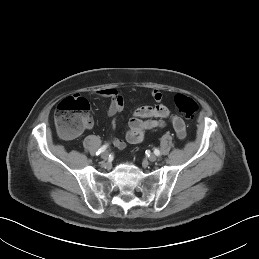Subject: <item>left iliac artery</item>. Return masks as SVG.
Masks as SVG:
<instances>
[{
  "instance_id": "1",
  "label": "left iliac artery",
  "mask_w": 259,
  "mask_h": 259,
  "mask_svg": "<svg viewBox=\"0 0 259 259\" xmlns=\"http://www.w3.org/2000/svg\"><path fill=\"white\" fill-rule=\"evenodd\" d=\"M154 153H155V155H157V156L160 155V151H159L158 149H155V150H154Z\"/></svg>"
}]
</instances>
